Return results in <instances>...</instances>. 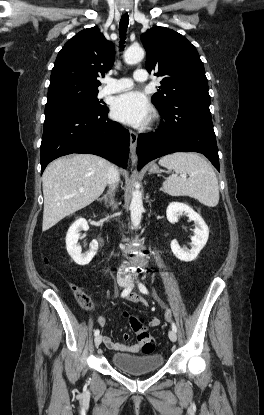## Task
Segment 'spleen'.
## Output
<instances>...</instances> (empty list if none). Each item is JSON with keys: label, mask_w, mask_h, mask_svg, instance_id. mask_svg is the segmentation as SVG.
I'll use <instances>...</instances> for the list:
<instances>
[{"label": "spleen", "mask_w": 264, "mask_h": 415, "mask_svg": "<svg viewBox=\"0 0 264 415\" xmlns=\"http://www.w3.org/2000/svg\"><path fill=\"white\" fill-rule=\"evenodd\" d=\"M173 174L163 182L171 196H189L200 203L215 207L219 202L218 179L211 165L196 153L177 152L159 160ZM186 175H189L186 178Z\"/></svg>", "instance_id": "3e777b00"}]
</instances>
